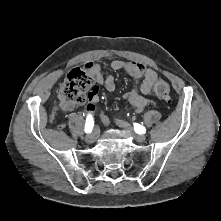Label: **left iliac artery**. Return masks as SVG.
<instances>
[{
    "label": "left iliac artery",
    "mask_w": 221,
    "mask_h": 221,
    "mask_svg": "<svg viewBox=\"0 0 221 221\" xmlns=\"http://www.w3.org/2000/svg\"><path fill=\"white\" fill-rule=\"evenodd\" d=\"M134 130L136 133L138 134H145L146 133V128L141 125V124H138V123H134Z\"/></svg>",
    "instance_id": "obj_1"
}]
</instances>
